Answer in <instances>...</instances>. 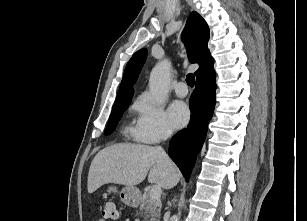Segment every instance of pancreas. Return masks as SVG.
<instances>
[{
  "label": "pancreas",
  "mask_w": 307,
  "mask_h": 221,
  "mask_svg": "<svg viewBox=\"0 0 307 221\" xmlns=\"http://www.w3.org/2000/svg\"><path fill=\"white\" fill-rule=\"evenodd\" d=\"M161 206L160 200H152L150 194H144L139 207L144 221H160Z\"/></svg>",
  "instance_id": "obj_1"
}]
</instances>
